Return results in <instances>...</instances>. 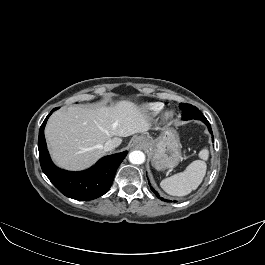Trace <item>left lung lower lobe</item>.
<instances>
[{"label": "left lung lower lobe", "instance_id": "left-lung-lower-lobe-1", "mask_svg": "<svg viewBox=\"0 0 265 265\" xmlns=\"http://www.w3.org/2000/svg\"><path fill=\"white\" fill-rule=\"evenodd\" d=\"M193 119H198V120L204 122V123L208 126V129H209L210 133L212 134V129H211V127H210V123H209L208 120L204 117V115L194 117ZM212 141H214L213 136H212ZM149 184H150V183H149ZM150 188H151V190L156 194V196H157L158 198H160L162 201H165V202H171V201H169V200H166V199L160 197V195H159V194L153 189L152 186H150Z\"/></svg>", "mask_w": 265, "mask_h": 265}]
</instances>
